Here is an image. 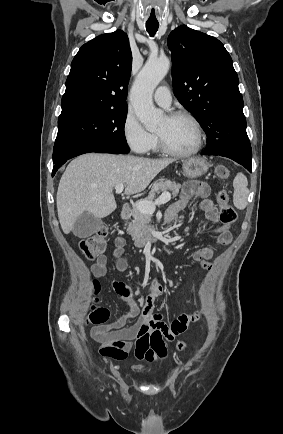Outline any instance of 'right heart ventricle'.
<instances>
[{"label":"right heart ventricle","mask_w":283,"mask_h":434,"mask_svg":"<svg viewBox=\"0 0 283 434\" xmlns=\"http://www.w3.org/2000/svg\"><path fill=\"white\" fill-rule=\"evenodd\" d=\"M154 149H156L157 148V142H156V144L154 145V147H153Z\"/></svg>","instance_id":"1"}]
</instances>
